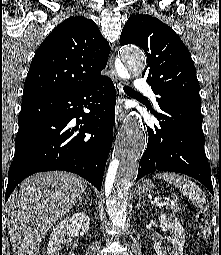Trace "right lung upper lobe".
I'll list each match as a JSON object with an SVG mask.
<instances>
[{
  "label": "right lung upper lobe",
  "mask_w": 221,
  "mask_h": 255,
  "mask_svg": "<svg viewBox=\"0 0 221 255\" xmlns=\"http://www.w3.org/2000/svg\"><path fill=\"white\" fill-rule=\"evenodd\" d=\"M109 52V44L94 21L69 17L37 49L22 102L79 89L101 79Z\"/></svg>",
  "instance_id": "obj_1"
}]
</instances>
